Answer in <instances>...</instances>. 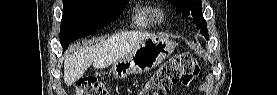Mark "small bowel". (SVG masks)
<instances>
[{
	"label": "small bowel",
	"instance_id": "small-bowel-1",
	"mask_svg": "<svg viewBox=\"0 0 277 95\" xmlns=\"http://www.w3.org/2000/svg\"><path fill=\"white\" fill-rule=\"evenodd\" d=\"M190 82H191V79H189V80H184V81L182 82V85L185 86V87H187V86L190 85Z\"/></svg>",
	"mask_w": 277,
	"mask_h": 95
}]
</instances>
